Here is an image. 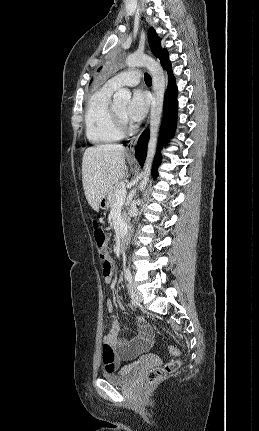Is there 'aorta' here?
<instances>
[{
    "label": "aorta",
    "instance_id": "obj_1",
    "mask_svg": "<svg viewBox=\"0 0 259 431\" xmlns=\"http://www.w3.org/2000/svg\"><path fill=\"white\" fill-rule=\"evenodd\" d=\"M129 68L146 67L153 80V99L150 109V139L147 148V157L142 171L140 190H144L150 177L151 166L155 154L158 129L163 109V99L165 93V75L162 67L151 57L144 54H132L126 59ZM131 99V92L127 89H119L113 96L116 106H126ZM139 202V200H138Z\"/></svg>",
    "mask_w": 259,
    "mask_h": 431
}]
</instances>
